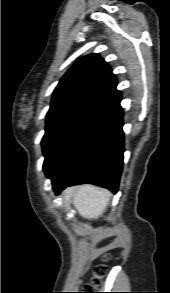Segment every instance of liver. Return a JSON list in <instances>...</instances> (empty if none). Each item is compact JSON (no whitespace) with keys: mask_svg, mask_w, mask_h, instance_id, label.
<instances>
[{"mask_svg":"<svg viewBox=\"0 0 170 293\" xmlns=\"http://www.w3.org/2000/svg\"><path fill=\"white\" fill-rule=\"evenodd\" d=\"M64 200L73 199V205L80 216L87 219H98L106 209L111 194L109 191L92 185L79 188H67L63 192Z\"/></svg>","mask_w":170,"mask_h":293,"instance_id":"liver-1","label":"liver"}]
</instances>
